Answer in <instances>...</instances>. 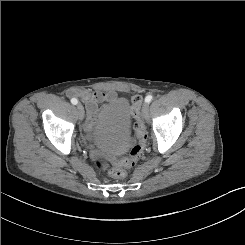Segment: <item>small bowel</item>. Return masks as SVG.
Listing matches in <instances>:
<instances>
[{
    "instance_id": "obj_1",
    "label": "small bowel",
    "mask_w": 245,
    "mask_h": 245,
    "mask_svg": "<svg viewBox=\"0 0 245 245\" xmlns=\"http://www.w3.org/2000/svg\"><path fill=\"white\" fill-rule=\"evenodd\" d=\"M81 97L86 105L87 118L89 122H91L93 117L96 115L98 104L103 103L102 109L105 110L109 107V103L120 100L117 93L113 91H85L81 94Z\"/></svg>"
}]
</instances>
